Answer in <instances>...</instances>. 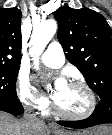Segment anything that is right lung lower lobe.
<instances>
[{
	"mask_svg": "<svg viewBox=\"0 0 112 135\" xmlns=\"http://www.w3.org/2000/svg\"><path fill=\"white\" fill-rule=\"evenodd\" d=\"M0 110L8 112L13 115H20L23 113V107L20 103L0 101Z\"/></svg>",
	"mask_w": 112,
	"mask_h": 135,
	"instance_id": "right-lung-lower-lobe-1",
	"label": "right lung lower lobe"
}]
</instances>
